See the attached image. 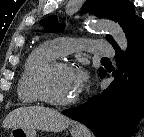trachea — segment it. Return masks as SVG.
<instances>
[{
	"label": "trachea",
	"instance_id": "obj_1",
	"mask_svg": "<svg viewBox=\"0 0 144 137\" xmlns=\"http://www.w3.org/2000/svg\"><path fill=\"white\" fill-rule=\"evenodd\" d=\"M102 60H109L107 57H103Z\"/></svg>",
	"mask_w": 144,
	"mask_h": 137
}]
</instances>
